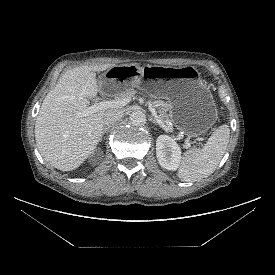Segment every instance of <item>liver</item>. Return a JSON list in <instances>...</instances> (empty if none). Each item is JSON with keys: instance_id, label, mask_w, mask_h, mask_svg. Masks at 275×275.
Returning a JSON list of instances; mask_svg holds the SVG:
<instances>
[{"instance_id": "1", "label": "liver", "mask_w": 275, "mask_h": 275, "mask_svg": "<svg viewBox=\"0 0 275 275\" xmlns=\"http://www.w3.org/2000/svg\"><path fill=\"white\" fill-rule=\"evenodd\" d=\"M111 63L83 65L65 72L46 95L35 122V139L44 160L61 171L78 168L101 140L108 109L82 117L99 86L95 72Z\"/></svg>"}]
</instances>
